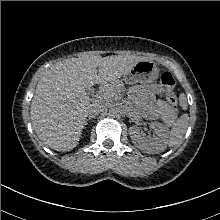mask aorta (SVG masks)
<instances>
[{"mask_svg": "<svg viewBox=\"0 0 220 220\" xmlns=\"http://www.w3.org/2000/svg\"><path fill=\"white\" fill-rule=\"evenodd\" d=\"M118 113H119V111H118L117 108H112V109L109 111V114H110L111 116H116V115H118Z\"/></svg>", "mask_w": 220, "mask_h": 220, "instance_id": "aorta-1", "label": "aorta"}]
</instances>
